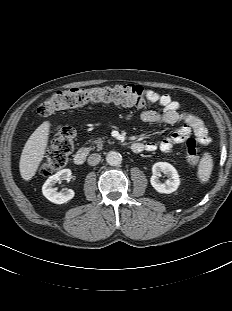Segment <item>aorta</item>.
Masks as SVG:
<instances>
[{"instance_id": "1", "label": "aorta", "mask_w": 232, "mask_h": 311, "mask_svg": "<svg viewBox=\"0 0 232 311\" xmlns=\"http://www.w3.org/2000/svg\"><path fill=\"white\" fill-rule=\"evenodd\" d=\"M106 161L111 166H117L121 164L122 156L119 152L110 151L106 155Z\"/></svg>"}]
</instances>
